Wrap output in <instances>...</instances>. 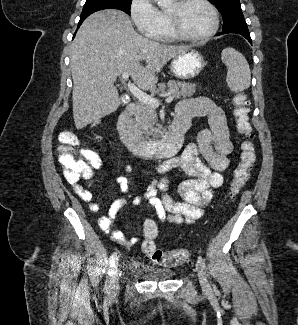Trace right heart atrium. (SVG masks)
Here are the masks:
<instances>
[{
    "instance_id": "obj_1",
    "label": "right heart atrium",
    "mask_w": 298,
    "mask_h": 325,
    "mask_svg": "<svg viewBox=\"0 0 298 325\" xmlns=\"http://www.w3.org/2000/svg\"><path fill=\"white\" fill-rule=\"evenodd\" d=\"M130 15L137 30H141V37H146V41H164L159 10L151 0H133Z\"/></svg>"
}]
</instances>
